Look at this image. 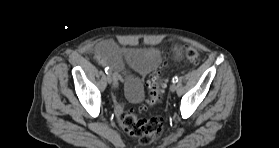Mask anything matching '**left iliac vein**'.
<instances>
[{
    "label": "left iliac vein",
    "mask_w": 279,
    "mask_h": 148,
    "mask_svg": "<svg viewBox=\"0 0 279 148\" xmlns=\"http://www.w3.org/2000/svg\"><path fill=\"white\" fill-rule=\"evenodd\" d=\"M170 91H171V92H175V91H176V84H175V83H172V84L170 85Z\"/></svg>",
    "instance_id": "4c4485c4"
}]
</instances>
